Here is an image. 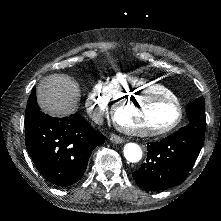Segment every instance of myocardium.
<instances>
[{
  "label": "myocardium",
  "mask_w": 221,
  "mask_h": 221,
  "mask_svg": "<svg viewBox=\"0 0 221 221\" xmlns=\"http://www.w3.org/2000/svg\"><path fill=\"white\" fill-rule=\"evenodd\" d=\"M141 92L140 95H135L129 99L121 98L112 104L111 109L108 112V123L112 125L118 131L121 137L125 138H135L144 139L148 135L150 137H158L164 132H168L171 127H177L180 124L181 116L183 115V106L178 103V100L174 96H169L168 94H147ZM170 103L173 107V115L168 125H162L161 127H146L145 129L137 130L136 127H128L124 125L119 117L121 109L123 107L138 108L142 107L144 103ZM136 115L137 112H136Z\"/></svg>",
  "instance_id": "obj_1"
}]
</instances>
